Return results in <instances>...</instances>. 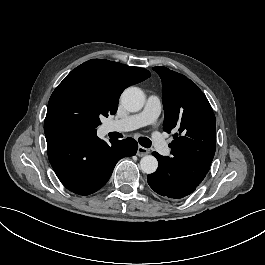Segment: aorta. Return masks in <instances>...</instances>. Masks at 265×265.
<instances>
[{"label":"aorta","mask_w":265,"mask_h":265,"mask_svg":"<svg viewBox=\"0 0 265 265\" xmlns=\"http://www.w3.org/2000/svg\"><path fill=\"white\" fill-rule=\"evenodd\" d=\"M145 93L138 87H128L120 97L121 104L129 112H137L145 103ZM140 168L146 174L154 173L158 168L157 159L152 155L143 156L140 160Z\"/></svg>","instance_id":"obj_1"}]
</instances>
